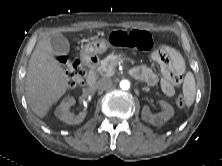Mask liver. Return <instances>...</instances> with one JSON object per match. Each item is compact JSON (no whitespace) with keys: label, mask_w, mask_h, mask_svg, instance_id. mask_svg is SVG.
<instances>
[{"label":"liver","mask_w":222,"mask_h":166,"mask_svg":"<svg viewBox=\"0 0 222 166\" xmlns=\"http://www.w3.org/2000/svg\"><path fill=\"white\" fill-rule=\"evenodd\" d=\"M46 34L36 45L28 64L25 93L31 110L40 118L48 113L69 88V76L55 59L50 44L51 35Z\"/></svg>","instance_id":"6515ba94"}]
</instances>
